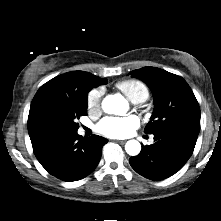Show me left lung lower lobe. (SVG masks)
<instances>
[{"label": "left lung lower lobe", "instance_id": "0a47b994", "mask_svg": "<svg viewBox=\"0 0 221 221\" xmlns=\"http://www.w3.org/2000/svg\"><path fill=\"white\" fill-rule=\"evenodd\" d=\"M198 135L179 128L154 134L155 143L142 147L139 155L129 159L132 168L145 178L162 180L180 170L191 157Z\"/></svg>", "mask_w": 221, "mask_h": 221}]
</instances>
